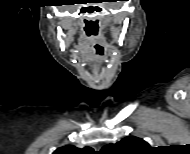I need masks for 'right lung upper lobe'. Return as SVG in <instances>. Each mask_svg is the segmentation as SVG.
Returning a JSON list of instances; mask_svg holds the SVG:
<instances>
[{
    "mask_svg": "<svg viewBox=\"0 0 190 154\" xmlns=\"http://www.w3.org/2000/svg\"><path fill=\"white\" fill-rule=\"evenodd\" d=\"M93 151L90 147H85L83 149L76 148L74 146H64L58 148L53 154H80V153H91Z\"/></svg>",
    "mask_w": 190,
    "mask_h": 154,
    "instance_id": "1",
    "label": "right lung upper lobe"
}]
</instances>
